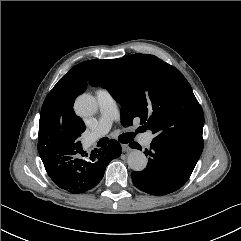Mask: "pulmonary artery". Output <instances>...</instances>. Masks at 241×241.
<instances>
[{
  "mask_svg": "<svg viewBox=\"0 0 241 241\" xmlns=\"http://www.w3.org/2000/svg\"><path fill=\"white\" fill-rule=\"evenodd\" d=\"M100 115L94 128L89 132L86 139V145L93 144L97 139L108 133L112 122L117 118L118 111L115 99L112 94L103 88H99L95 92ZM140 141L149 146L154 138L151 131L140 135Z\"/></svg>",
  "mask_w": 241,
  "mask_h": 241,
  "instance_id": "obj_1",
  "label": "pulmonary artery"
}]
</instances>
